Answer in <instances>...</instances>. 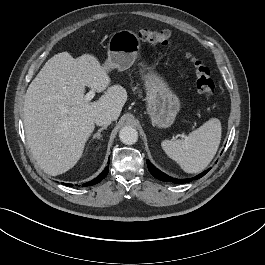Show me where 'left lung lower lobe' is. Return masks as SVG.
<instances>
[{
  "label": "left lung lower lobe",
  "instance_id": "1",
  "mask_svg": "<svg viewBox=\"0 0 265 265\" xmlns=\"http://www.w3.org/2000/svg\"><path fill=\"white\" fill-rule=\"evenodd\" d=\"M146 163H147V166H148V169L150 171V173L156 177L157 179L161 180V181H165V182H173V183H177V184H180V183H187V182H191L193 179H175V178H172V177H169L167 176L166 174L160 172L158 169H156L149 160H146ZM208 172L205 171L199 175H197L196 177H194V179H199L201 178L202 176H204L206 173Z\"/></svg>",
  "mask_w": 265,
  "mask_h": 265
}]
</instances>
